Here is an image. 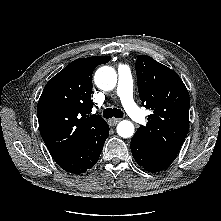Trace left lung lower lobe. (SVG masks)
Masks as SVG:
<instances>
[{
	"label": "left lung lower lobe",
	"instance_id": "1",
	"mask_svg": "<svg viewBox=\"0 0 221 221\" xmlns=\"http://www.w3.org/2000/svg\"><path fill=\"white\" fill-rule=\"evenodd\" d=\"M131 151L135 161L146 171L159 172L167 168L176 158L154 151L135 136L131 139Z\"/></svg>",
	"mask_w": 221,
	"mask_h": 221
}]
</instances>
